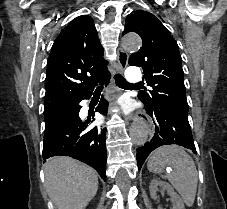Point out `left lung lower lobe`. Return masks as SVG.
<instances>
[{
    "mask_svg": "<svg viewBox=\"0 0 227 209\" xmlns=\"http://www.w3.org/2000/svg\"><path fill=\"white\" fill-rule=\"evenodd\" d=\"M155 123V135L150 142L137 149V164L140 170L148 155L162 145L176 144L197 153L192 137L188 115L182 114L166 104L145 107Z\"/></svg>",
    "mask_w": 227,
    "mask_h": 209,
    "instance_id": "0a47b994",
    "label": "left lung lower lobe"
}]
</instances>
